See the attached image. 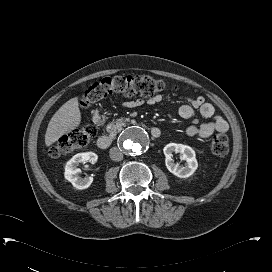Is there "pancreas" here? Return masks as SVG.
Returning a JSON list of instances; mask_svg holds the SVG:
<instances>
[{
  "mask_svg": "<svg viewBox=\"0 0 272 272\" xmlns=\"http://www.w3.org/2000/svg\"><path fill=\"white\" fill-rule=\"evenodd\" d=\"M129 123H131V120L129 118L118 119L107 126V132L111 136H114L117 132H120L122 130V127L126 126Z\"/></svg>",
  "mask_w": 272,
  "mask_h": 272,
  "instance_id": "1",
  "label": "pancreas"
}]
</instances>
